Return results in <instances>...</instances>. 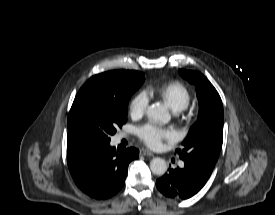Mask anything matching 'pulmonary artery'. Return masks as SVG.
<instances>
[{
	"mask_svg": "<svg viewBox=\"0 0 275 215\" xmlns=\"http://www.w3.org/2000/svg\"><path fill=\"white\" fill-rule=\"evenodd\" d=\"M184 165L183 162H179V166L182 167Z\"/></svg>",
	"mask_w": 275,
	"mask_h": 215,
	"instance_id": "e3ab8cb5",
	"label": "pulmonary artery"
}]
</instances>
